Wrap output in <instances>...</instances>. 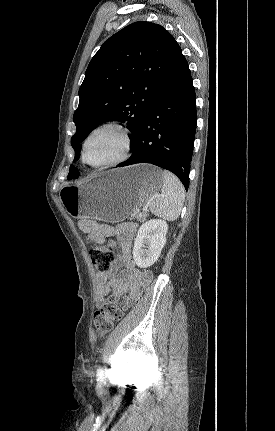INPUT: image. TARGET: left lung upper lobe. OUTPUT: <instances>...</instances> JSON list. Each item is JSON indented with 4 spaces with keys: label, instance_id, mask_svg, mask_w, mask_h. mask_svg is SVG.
I'll return each instance as SVG.
<instances>
[{
    "label": "left lung upper lobe",
    "instance_id": "obj_1",
    "mask_svg": "<svg viewBox=\"0 0 275 431\" xmlns=\"http://www.w3.org/2000/svg\"><path fill=\"white\" fill-rule=\"evenodd\" d=\"M181 48L162 26L132 23L111 36L90 61L74 113L71 145L79 158L80 143L98 125L127 124L130 147L169 76ZM79 174L71 165L68 178Z\"/></svg>",
    "mask_w": 275,
    "mask_h": 431
}]
</instances>
